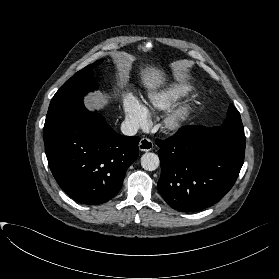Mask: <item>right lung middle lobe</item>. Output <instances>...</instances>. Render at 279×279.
<instances>
[{
    "label": "right lung middle lobe",
    "mask_w": 279,
    "mask_h": 279,
    "mask_svg": "<svg viewBox=\"0 0 279 279\" xmlns=\"http://www.w3.org/2000/svg\"><path fill=\"white\" fill-rule=\"evenodd\" d=\"M101 63V60L88 65L74 74L56 92L50 103L45 124L56 120L71 107L82 100L89 91L97 89V82L93 78V68Z\"/></svg>",
    "instance_id": "obj_1"
}]
</instances>
